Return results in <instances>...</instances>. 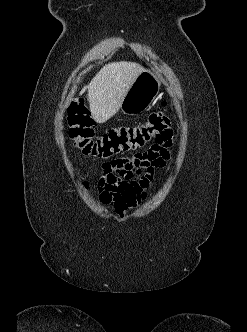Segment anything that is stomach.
Instances as JSON below:
<instances>
[{
	"label": "stomach",
	"mask_w": 247,
	"mask_h": 332,
	"mask_svg": "<svg viewBox=\"0 0 247 332\" xmlns=\"http://www.w3.org/2000/svg\"><path fill=\"white\" fill-rule=\"evenodd\" d=\"M160 79L151 70H145L135 79L126 93L120 109L126 115H138L146 111L157 97Z\"/></svg>",
	"instance_id": "stomach-1"
}]
</instances>
